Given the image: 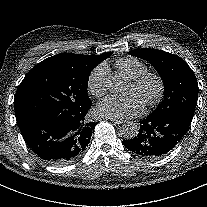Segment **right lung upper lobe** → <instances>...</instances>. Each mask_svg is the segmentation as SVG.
I'll return each instance as SVG.
<instances>
[{
	"label": "right lung upper lobe",
	"mask_w": 207,
	"mask_h": 207,
	"mask_svg": "<svg viewBox=\"0 0 207 207\" xmlns=\"http://www.w3.org/2000/svg\"><path fill=\"white\" fill-rule=\"evenodd\" d=\"M112 52L103 53L101 55L95 56H86L82 54H68L64 53L61 55H56L45 59L46 61H63L69 62L76 67L91 71L94 67H96L103 60L107 59L111 56Z\"/></svg>",
	"instance_id": "right-lung-upper-lobe-1"
}]
</instances>
